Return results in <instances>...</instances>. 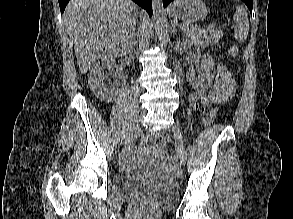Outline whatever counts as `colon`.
I'll list each match as a JSON object with an SVG mask.
<instances>
[{
	"label": "colon",
	"instance_id": "colon-1",
	"mask_svg": "<svg viewBox=\"0 0 293 219\" xmlns=\"http://www.w3.org/2000/svg\"><path fill=\"white\" fill-rule=\"evenodd\" d=\"M239 49L237 45H232L229 49V55L235 59L238 56ZM217 114V108L213 107L206 111L205 121L207 124H211ZM147 142L154 145L157 148L163 149L168 143V138L163 133L151 132L147 136Z\"/></svg>",
	"mask_w": 293,
	"mask_h": 219
}]
</instances>
